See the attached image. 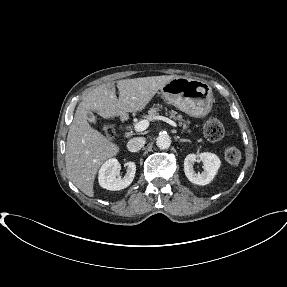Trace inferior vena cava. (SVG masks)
I'll use <instances>...</instances> for the list:
<instances>
[{
  "label": "inferior vena cava",
  "mask_w": 287,
  "mask_h": 287,
  "mask_svg": "<svg viewBox=\"0 0 287 287\" xmlns=\"http://www.w3.org/2000/svg\"><path fill=\"white\" fill-rule=\"evenodd\" d=\"M145 144V138L134 137L130 139L127 143V149L130 152H138Z\"/></svg>",
  "instance_id": "602c4592"
}]
</instances>
